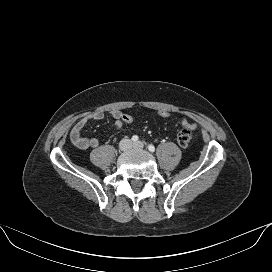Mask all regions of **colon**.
Instances as JSON below:
<instances>
[{"label":"colon","mask_w":272,"mask_h":272,"mask_svg":"<svg viewBox=\"0 0 272 272\" xmlns=\"http://www.w3.org/2000/svg\"><path fill=\"white\" fill-rule=\"evenodd\" d=\"M157 115L161 119H167L170 117V113L165 110L159 111ZM121 120L125 124H130L133 122V117L129 114L122 113ZM191 139H192V130H190L189 128H183L177 134V142L182 148H187L191 142Z\"/></svg>","instance_id":"obj_1"}]
</instances>
